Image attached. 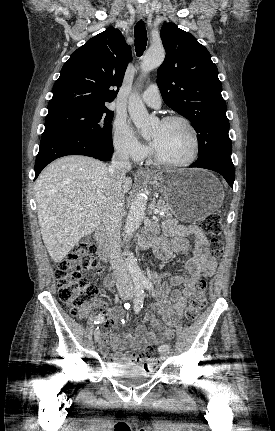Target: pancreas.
<instances>
[{
  "mask_svg": "<svg viewBox=\"0 0 275 431\" xmlns=\"http://www.w3.org/2000/svg\"><path fill=\"white\" fill-rule=\"evenodd\" d=\"M157 207L159 209L160 212H163V216L165 218L167 217H171L173 215V213L171 212L168 204L163 200V199H159L157 202Z\"/></svg>",
  "mask_w": 275,
  "mask_h": 431,
  "instance_id": "1",
  "label": "pancreas"
}]
</instances>
